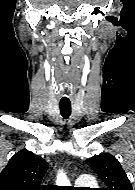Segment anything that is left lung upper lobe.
<instances>
[{
  "label": "left lung upper lobe",
  "mask_w": 135,
  "mask_h": 190,
  "mask_svg": "<svg viewBox=\"0 0 135 190\" xmlns=\"http://www.w3.org/2000/svg\"><path fill=\"white\" fill-rule=\"evenodd\" d=\"M86 163L107 185L104 190H132L125 171L114 156L102 153L89 158Z\"/></svg>",
  "instance_id": "obj_1"
}]
</instances>
